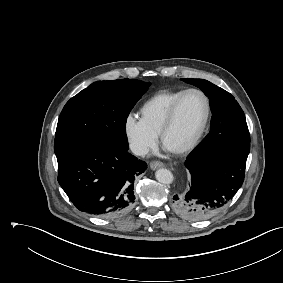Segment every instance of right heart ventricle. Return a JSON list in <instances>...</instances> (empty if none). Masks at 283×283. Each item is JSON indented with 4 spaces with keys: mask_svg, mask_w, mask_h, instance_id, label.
<instances>
[{
    "mask_svg": "<svg viewBox=\"0 0 283 283\" xmlns=\"http://www.w3.org/2000/svg\"><path fill=\"white\" fill-rule=\"evenodd\" d=\"M184 91V89L161 90L143 103L140 108V118L152 133L159 134L169 109Z\"/></svg>",
    "mask_w": 283,
    "mask_h": 283,
    "instance_id": "e07e8e85",
    "label": "right heart ventricle"
}]
</instances>
